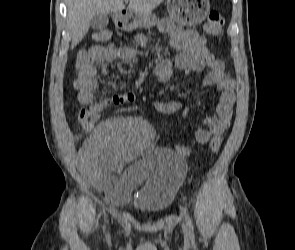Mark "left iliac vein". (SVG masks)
<instances>
[{
    "label": "left iliac vein",
    "mask_w": 295,
    "mask_h": 250,
    "mask_svg": "<svg viewBox=\"0 0 295 250\" xmlns=\"http://www.w3.org/2000/svg\"><path fill=\"white\" fill-rule=\"evenodd\" d=\"M183 233H184L185 237H187V238L190 237L189 229H188L187 224H183Z\"/></svg>",
    "instance_id": "obj_1"
}]
</instances>
